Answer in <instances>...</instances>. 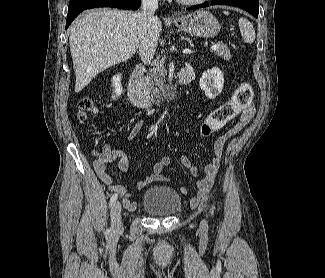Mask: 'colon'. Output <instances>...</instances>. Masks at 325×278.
Masks as SVG:
<instances>
[{
    "mask_svg": "<svg viewBox=\"0 0 325 278\" xmlns=\"http://www.w3.org/2000/svg\"><path fill=\"white\" fill-rule=\"evenodd\" d=\"M253 88L251 84L243 82L239 84L232 96V98L213 110L200 126V134L209 136L215 131L222 128L227 122L245 110L252 102ZM97 111L94 102L85 98L79 102L78 118L81 121L87 120Z\"/></svg>",
    "mask_w": 325,
    "mask_h": 278,
    "instance_id": "obj_1",
    "label": "colon"
}]
</instances>
